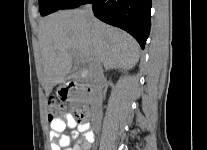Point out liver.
I'll return each instance as SVG.
<instances>
[{"mask_svg": "<svg viewBox=\"0 0 207 150\" xmlns=\"http://www.w3.org/2000/svg\"><path fill=\"white\" fill-rule=\"evenodd\" d=\"M38 37L46 95L71 72L74 57L89 66L98 59L106 70L131 69L140 57L133 37L96 18L88 21L80 9L59 11L42 19Z\"/></svg>", "mask_w": 207, "mask_h": 150, "instance_id": "1", "label": "liver"}]
</instances>
